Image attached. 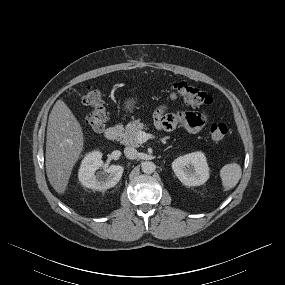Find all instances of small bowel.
I'll return each mask as SVG.
<instances>
[{"mask_svg": "<svg viewBox=\"0 0 285 285\" xmlns=\"http://www.w3.org/2000/svg\"><path fill=\"white\" fill-rule=\"evenodd\" d=\"M154 118L156 124L163 129L171 130L181 126L190 133L200 132L207 121V116L203 112L167 113L164 108L158 109Z\"/></svg>", "mask_w": 285, "mask_h": 285, "instance_id": "small-bowel-1", "label": "small bowel"}]
</instances>
